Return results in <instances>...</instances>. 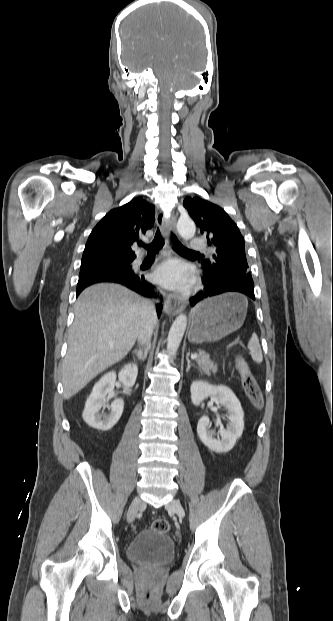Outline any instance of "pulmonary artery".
<instances>
[{"instance_id": "1", "label": "pulmonary artery", "mask_w": 333, "mask_h": 621, "mask_svg": "<svg viewBox=\"0 0 333 621\" xmlns=\"http://www.w3.org/2000/svg\"><path fill=\"white\" fill-rule=\"evenodd\" d=\"M206 247V243L203 239L201 238H192L191 242H190V250L192 251H201L204 250ZM142 260L141 257H139L136 262H140Z\"/></svg>"}]
</instances>
